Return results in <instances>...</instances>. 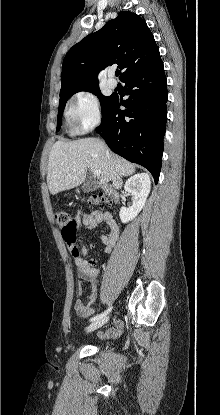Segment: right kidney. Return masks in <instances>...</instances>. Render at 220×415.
I'll return each instance as SVG.
<instances>
[{
    "mask_svg": "<svg viewBox=\"0 0 220 415\" xmlns=\"http://www.w3.org/2000/svg\"><path fill=\"white\" fill-rule=\"evenodd\" d=\"M150 189L151 181L146 173L136 174L126 181L124 190L133 195V204L129 208L122 207L120 209L119 216L122 223H127L138 215L145 206Z\"/></svg>",
    "mask_w": 220,
    "mask_h": 415,
    "instance_id": "1",
    "label": "right kidney"
}]
</instances>
